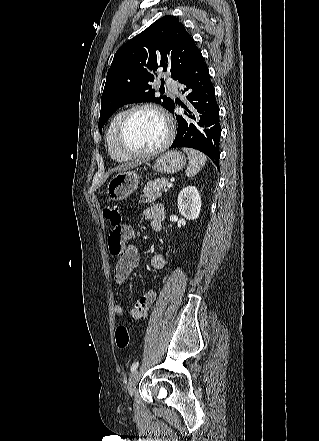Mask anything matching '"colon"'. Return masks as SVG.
Returning a JSON list of instances; mask_svg holds the SVG:
<instances>
[{
    "mask_svg": "<svg viewBox=\"0 0 319 441\" xmlns=\"http://www.w3.org/2000/svg\"><path fill=\"white\" fill-rule=\"evenodd\" d=\"M103 215L105 219L114 227L111 234L117 235V231L120 228L122 222L120 206L115 203L105 205L103 208ZM115 341L116 345L120 349H126L128 347L130 338L128 330L124 325H120L117 327L115 331Z\"/></svg>",
    "mask_w": 319,
    "mask_h": 441,
    "instance_id": "5ec220e1",
    "label": "colon"
}]
</instances>
